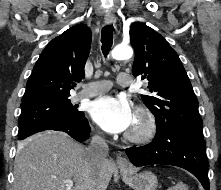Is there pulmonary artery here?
Instances as JSON below:
<instances>
[{
  "instance_id": "obj_1",
  "label": "pulmonary artery",
  "mask_w": 221,
  "mask_h": 190,
  "mask_svg": "<svg viewBox=\"0 0 221 190\" xmlns=\"http://www.w3.org/2000/svg\"><path fill=\"white\" fill-rule=\"evenodd\" d=\"M117 82L121 86H130L133 83L132 77L127 72H121L118 74ZM111 88V83L108 80H100L86 85L76 95V99L85 97H93L108 91Z\"/></svg>"
}]
</instances>
